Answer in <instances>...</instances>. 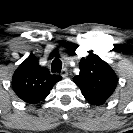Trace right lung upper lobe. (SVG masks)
Wrapping results in <instances>:
<instances>
[{
	"label": "right lung upper lobe",
	"instance_id": "1",
	"mask_svg": "<svg viewBox=\"0 0 133 133\" xmlns=\"http://www.w3.org/2000/svg\"><path fill=\"white\" fill-rule=\"evenodd\" d=\"M61 79V76L51 75L47 68L41 67L35 58H27L14 72L12 87L21 100L37 104Z\"/></svg>",
	"mask_w": 133,
	"mask_h": 133
}]
</instances>
